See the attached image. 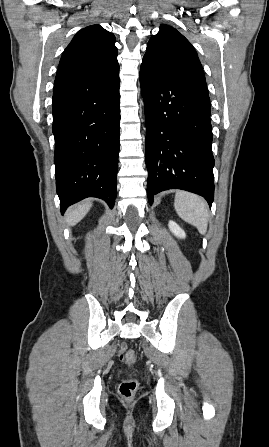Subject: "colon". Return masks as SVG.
I'll list each match as a JSON object with an SVG mask.
<instances>
[{
    "instance_id": "5ec220e1",
    "label": "colon",
    "mask_w": 269,
    "mask_h": 447,
    "mask_svg": "<svg viewBox=\"0 0 269 447\" xmlns=\"http://www.w3.org/2000/svg\"><path fill=\"white\" fill-rule=\"evenodd\" d=\"M121 361L127 365L132 366L137 362V354L133 350H123L120 353ZM139 381L136 378L128 377L124 379L119 385V395L123 400H132L137 388Z\"/></svg>"
}]
</instances>
